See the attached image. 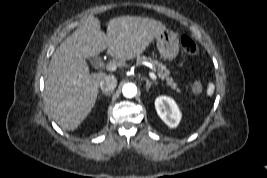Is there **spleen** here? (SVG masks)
I'll return each mask as SVG.
<instances>
[{
    "instance_id": "1",
    "label": "spleen",
    "mask_w": 267,
    "mask_h": 178,
    "mask_svg": "<svg viewBox=\"0 0 267 178\" xmlns=\"http://www.w3.org/2000/svg\"><path fill=\"white\" fill-rule=\"evenodd\" d=\"M214 91V85L213 84H209L208 86V95H212Z\"/></svg>"
}]
</instances>
